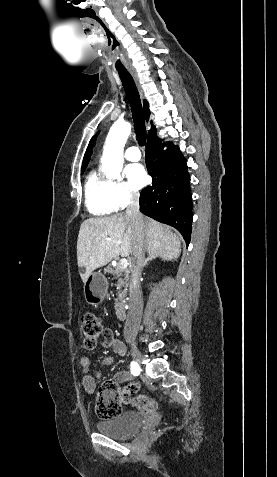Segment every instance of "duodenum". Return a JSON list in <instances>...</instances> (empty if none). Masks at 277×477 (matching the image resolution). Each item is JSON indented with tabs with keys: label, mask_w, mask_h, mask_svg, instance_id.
I'll return each mask as SVG.
<instances>
[{
	"label": "duodenum",
	"mask_w": 277,
	"mask_h": 477,
	"mask_svg": "<svg viewBox=\"0 0 277 477\" xmlns=\"http://www.w3.org/2000/svg\"><path fill=\"white\" fill-rule=\"evenodd\" d=\"M116 316L119 320H124L126 318V312L122 304H118L115 308Z\"/></svg>",
	"instance_id": "1"
}]
</instances>
